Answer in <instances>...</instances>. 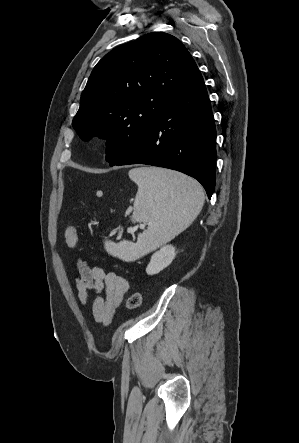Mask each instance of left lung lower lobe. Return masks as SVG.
<instances>
[{"label":"left lung lower lobe","mask_w":299,"mask_h":443,"mask_svg":"<svg viewBox=\"0 0 299 443\" xmlns=\"http://www.w3.org/2000/svg\"><path fill=\"white\" fill-rule=\"evenodd\" d=\"M215 163V123L203 77L197 70L114 165L147 164L183 172L198 180L210 199L215 188Z\"/></svg>","instance_id":"obj_1"}]
</instances>
